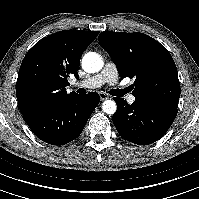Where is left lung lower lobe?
<instances>
[{
	"label": "left lung lower lobe",
	"mask_w": 199,
	"mask_h": 199,
	"mask_svg": "<svg viewBox=\"0 0 199 199\" xmlns=\"http://www.w3.org/2000/svg\"><path fill=\"white\" fill-rule=\"evenodd\" d=\"M117 110L112 121L125 140L147 145L159 140L170 128L177 109L135 98L132 105L122 98H113Z\"/></svg>",
	"instance_id": "left-lung-lower-lobe-1"
}]
</instances>
